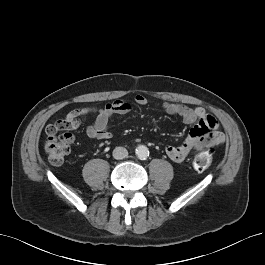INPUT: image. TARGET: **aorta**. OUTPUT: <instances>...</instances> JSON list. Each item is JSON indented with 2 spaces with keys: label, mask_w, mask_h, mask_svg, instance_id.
Wrapping results in <instances>:
<instances>
[{
  "label": "aorta",
  "mask_w": 265,
  "mask_h": 265,
  "mask_svg": "<svg viewBox=\"0 0 265 265\" xmlns=\"http://www.w3.org/2000/svg\"><path fill=\"white\" fill-rule=\"evenodd\" d=\"M136 155L139 159L145 160L149 156V150L145 145H139L136 148Z\"/></svg>",
  "instance_id": "1"
}]
</instances>
